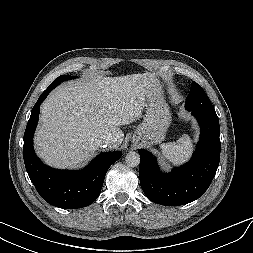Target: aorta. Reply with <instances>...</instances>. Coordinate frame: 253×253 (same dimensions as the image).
I'll return each mask as SVG.
<instances>
[{
	"label": "aorta",
	"mask_w": 253,
	"mask_h": 253,
	"mask_svg": "<svg viewBox=\"0 0 253 253\" xmlns=\"http://www.w3.org/2000/svg\"><path fill=\"white\" fill-rule=\"evenodd\" d=\"M125 161L129 167H137L140 163V155L137 152L131 151L127 153Z\"/></svg>",
	"instance_id": "1"
}]
</instances>
